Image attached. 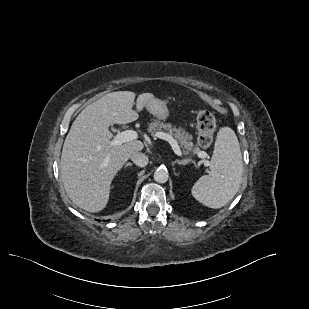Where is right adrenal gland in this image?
Wrapping results in <instances>:
<instances>
[{
  "mask_svg": "<svg viewBox=\"0 0 309 309\" xmlns=\"http://www.w3.org/2000/svg\"><path fill=\"white\" fill-rule=\"evenodd\" d=\"M128 166H132V163L130 162L126 163L124 167H128Z\"/></svg>",
  "mask_w": 309,
  "mask_h": 309,
  "instance_id": "1",
  "label": "right adrenal gland"
}]
</instances>
